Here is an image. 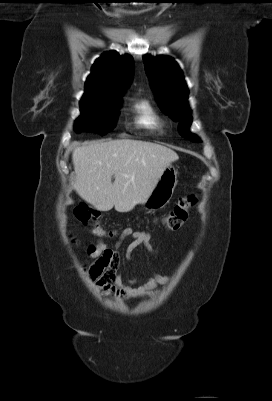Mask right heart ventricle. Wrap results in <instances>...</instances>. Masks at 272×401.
I'll return each instance as SVG.
<instances>
[{"label": "right heart ventricle", "instance_id": "right-heart-ventricle-1", "mask_svg": "<svg viewBox=\"0 0 272 401\" xmlns=\"http://www.w3.org/2000/svg\"><path fill=\"white\" fill-rule=\"evenodd\" d=\"M132 111L138 127L153 133L162 129L164 123L157 109L149 99L142 98L137 100L132 105Z\"/></svg>", "mask_w": 272, "mask_h": 401}]
</instances>
